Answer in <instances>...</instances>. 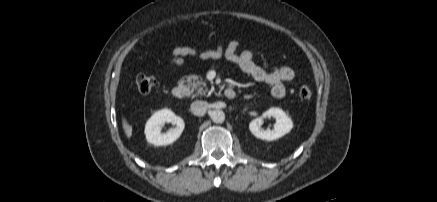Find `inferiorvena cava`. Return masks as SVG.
Segmentation results:
<instances>
[{"label":"inferior vena cava","instance_id":"inferior-vena-cava-1","mask_svg":"<svg viewBox=\"0 0 437 202\" xmlns=\"http://www.w3.org/2000/svg\"><path fill=\"white\" fill-rule=\"evenodd\" d=\"M208 108L209 104L206 101H194L190 107L191 112L196 116H203Z\"/></svg>","mask_w":437,"mask_h":202}]
</instances>
